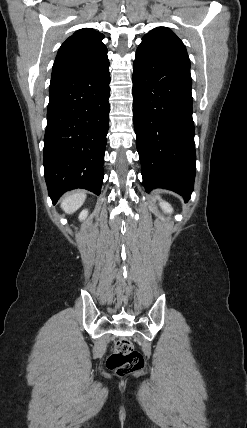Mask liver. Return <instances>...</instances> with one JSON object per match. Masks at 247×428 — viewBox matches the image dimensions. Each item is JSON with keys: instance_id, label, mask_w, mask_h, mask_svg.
I'll use <instances>...</instances> for the list:
<instances>
[{"instance_id": "obj_1", "label": "liver", "mask_w": 247, "mask_h": 428, "mask_svg": "<svg viewBox=\"0 0 247 428\" xmlns=\"http://www.w3.org/2000/svg\"><path fill=\"white\" fill-rule=\"evenodd\" d=\"M86 195L83 192H75L68 195L61 203V208L67 213L72 214L77 211L85 202Z\"/></svg>"}]
</instances>
